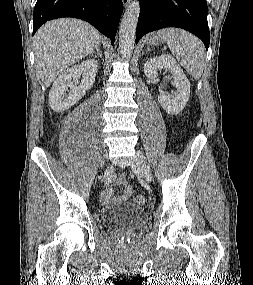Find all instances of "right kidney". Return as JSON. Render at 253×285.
I'll return each instance as SVG.
<instances>
[{
  "instance_id": "right-kidney-1",
  "label": "right kidney",
  "mask_w": 253,
  "mask_h": 285,
  "mask_svg": "<svg viewBox=\"0 0 253 285\" xmlns=\"http://www.w3.org/2000/svg\"><path fill=\"white\" fill-rule=\"evenodd\" d=\"M97 67L98 62L95 59H87L81 64L64 70L54 81L49 92L50 107L56 112H63L76 104L92 87ZM81 74H83V79L80 85H71V80L78 79ZM68 87H70L69 94L65 95Z\"/></svg>"
}]
</instances>
